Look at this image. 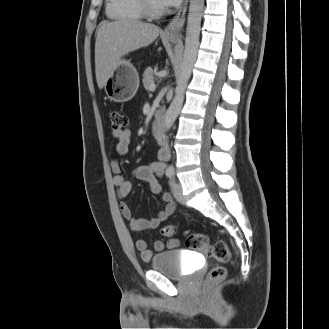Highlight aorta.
<instances>
[{"label":"aorta","instance_id":"obj_1","mask_svg":"<svg viewBox=\"0 0 329 329\" xmlns=\"http://www.w3.org/2000/svg\"><path fill=\"white\" fill-rule=\"evenodd\" d=\"M203 7L204 0H190L183 62L176 81L175 96L166 111L163 121V126L166 130L173 126L183 105L184 93L197 58ZM169 170H173V167H169Z\"/></svg>","mask_w":329,"mask_h":329}]
</instances>
